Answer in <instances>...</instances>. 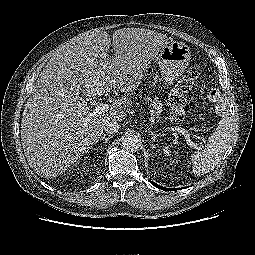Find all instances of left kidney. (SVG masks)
Masks as SVG:
<instances>
[{
	"label": "left kidney",
	"mask_w": 255,
	"mask_h": 255,
	"mask_svg": "<svg viewBox=\"0 0 255 255\" xmlns=\"http://www.w3.org/2000/svg\"><path fill=\"white\" fill-rule=\"evenodd\" d=\"M162 153L167 157V160L169 162L170 165H174L175 164V159H173L172 156V150L169 147H164L162 149Z\"/></svg>",
	"instance_id": "1"
}]
</instances>
